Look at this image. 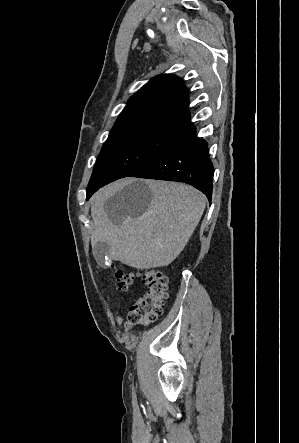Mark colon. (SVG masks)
Segmentation results:
<instances>
[{"mask_svg": "<svg viewBox=\"0 0 299 443\" xmlns=\"http://www.w3.org/2000/svg\"><path fill=\"white\" fill-rule=\"evenodd\" d=\"M117 288L127 291L134 276L122 270L116 272ZM146 285L143 295L134 300L128 308V326L146 325L156 321L163 312L167 297V278L158 270H148L142 275Z\"/></svg>", "mask_w": 299, "mask_h": 443, "instance_id": "obj_1", "label": "colon"}]
</instances>
